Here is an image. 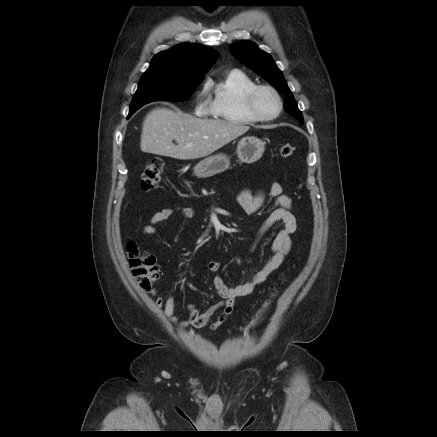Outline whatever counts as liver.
Instances as JSON below:
<instances>
[{
  "label": "liver",
  "mask_w": 437,
  "mask_h": 437,
  "mask_svg": "<svg viewBox=\"0 0 437 437\" xmlns=\"http://www.w3.org/2000/svg\"><path fill=\"white\" fill-rule=\"evenodd\" d=\"M249 129L242 124L156 108L143 121L140 148L145 153L181 160L198 159L212 154Z\"/></svg>",
  "instance_id": "liver-1"
}]
</instances>
